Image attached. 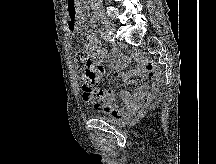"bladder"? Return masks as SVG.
Listing matches in <instances>:
<instances>
[{
	"instance_id": "bladder-1",
	"label": "bladder",
	"mask_w": 216,
	"mask_h": 164,
	"mask_svg": "<svg viewBox=\"0 0 216 164\" xmlns=\"http://www.w3.org/2000/svg\"><path fill=\"white\" fill-rule=\"evenodd\" d=\"M107 121L111 124H119L120 123L119 121H117L115 119H108Z\"/></svg>"
}]
</instances>
